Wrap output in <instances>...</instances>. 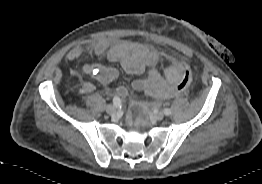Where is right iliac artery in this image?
I'll use <instances>...</instances> for the list:
<instances>
[{
    "label": "right iliac artery",
    "mask_w": 262,
    "mask_h": 184,
    "mask_svg": "<svg viewBox=\"0 0 262 184\" xmlns=\"http://www.w3.org/2000/svg\"><path fill=\"white\" fill-rule=\"evenodd\" d=\"M113 104L116 108L121 107V99L118 96H115L113 98Z\"/></svg>",
    "instance_id": "82829eb1"
}]
</instances>
